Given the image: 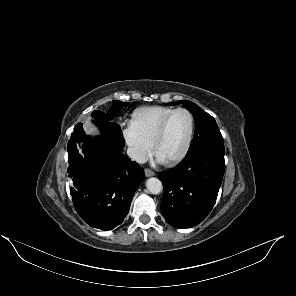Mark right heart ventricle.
I'll return each instance as SVG.
<instances>
[{
    "label": "right heart ventricle",
    "mask_w": 296,
    "mask_h": 296,
    "mask_svg": "<svg viewBox=\"0 0 296 296\" xmlns=\"http://www.w3.org/2000/svg\"><path fill=\"white\" fill-rule=\"evenodd\" d=\"M173 110L166 106L137 109L132 115L130 128L139 138L151 145L160 124Z\"/></svg>",
    "instance_id": "right-heart-ventricle-1"
}]
</instances>
